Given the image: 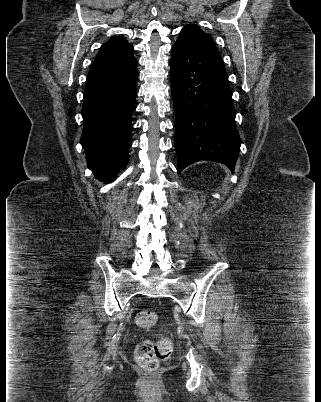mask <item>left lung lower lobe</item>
<instances>
[{
	"label": "left lung lower lobe",
	"mask_w": 321,
	"mask_h": 402,
	"mask_svg": "<svg viewBox=\"0 0 321 402\" xmlns=\"http://www.w3.org/2000/svg\"><path fill=\"white\" fill-rule=\"evenodd\" d=\"M170 66L178 173L200 160L233 171L241 140L221 56L175 43Z\"/></svg>",
	"instance_id": "obj_1"
}]
</instances>
